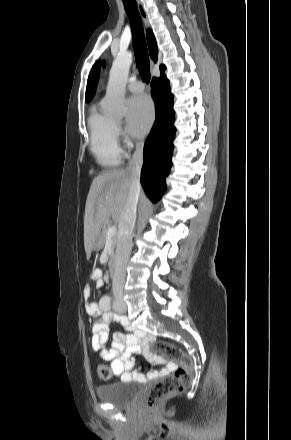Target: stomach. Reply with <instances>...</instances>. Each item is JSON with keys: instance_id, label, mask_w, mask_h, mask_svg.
Returning a JSON list of instances; mask_svg holds the SVG:
<instances>
[{"instance_id": "1", "label": "stomach", "mask_w": 291, "mask_h": 440, "mask_svg": "<svg viewBox=\"0 0 291 440\" xmlns=\"http://www.w3.org/2000/svg\"><path fill=\"white\" fill-rule=\"evenodd\" d=\"M98 245H99V243L97 242V243L95 244L94 248H97V247H98Z\"/></svg>"}]
</instances>
